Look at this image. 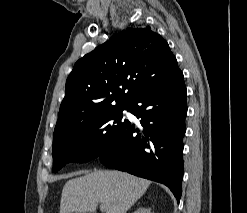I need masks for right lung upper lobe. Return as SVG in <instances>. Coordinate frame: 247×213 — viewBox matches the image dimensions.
I'll return each mask as SVG.
<instances>
[{
    "instance_id": "obj_1",
    "label": "right lung upper lobe",
    "mask_w": 247,
    "mask_h": 213,
    "mask_svg": "<svg viewBox=\"0 0 247 213\" xmlns=\"http://www.w3.org/2000/svg\"><path fill=\"white\" fill-rule=\"evenodd\" d=\"M177 67L168 43L149 26L127 28L79 59L66 81L58 136L113 107L129 104Z\"/></svg>"
}]
</instances>
